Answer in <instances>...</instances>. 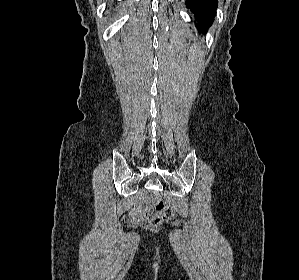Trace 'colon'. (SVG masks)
<instances>
[{
    "mask_svg": "<svg viewBox=\"0 0 299 280\" xmlns=\"http://www.w3.org/2000/svg\"><path fill=\"white\" fill-rule=\"evenodd\" d=\"M153 203L156 207V212L147 218V225L149 227H156L173 218L174 212L170 205L159 198H154Z\"/></svg>",
    "mask_w": 299,
    "mask_h": 280,
    "instance_id": "colon-1",
    "label": "colon"
}]
</instances>
